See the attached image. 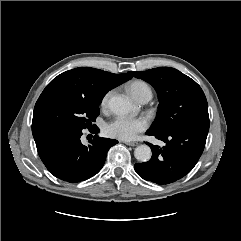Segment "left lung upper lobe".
I'll return each instance as SVG.
<instances>
[{
    "label": "left lung upper lobe",
    "instance_id": "obj_1",
    "mask_svg": "<svg viewBox=\"0 0 241 241\" xmlns=\"http://www.w3.org/2000/svg\"><path fill=\"white\" fill-rule=\"evenodd\" d=\"M130 74L151 84L158 93L159 109L148 131L167 133L194 123H209L205 94L190 77L170 67Z\"/></svg>",
    "mask_w": 241,
    "mask_h": 241
}]
</instances>
